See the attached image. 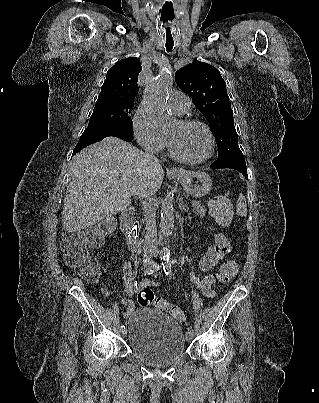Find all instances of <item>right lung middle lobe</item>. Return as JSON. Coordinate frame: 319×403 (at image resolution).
I'll return each mask as SVG.
<instances>
[{
	"label": "right lung middle lobe",
	"instance_id": "obj_1",
	"mask_svg": "<svg viewBox=\"0 0 319 403\" xmlns=\"http://www.w3.org/2000/svg\"><path fill=\"white\" fill-rule=\"evenodd\" d=\"M134 104L96 103L88 127L116 126L133 132L130 113Z\"/></svg>",
	"mask_w": 319,
	"mask_h": 403
}]
</instances>
